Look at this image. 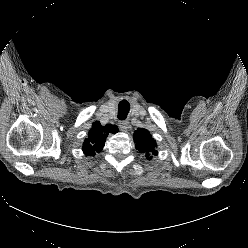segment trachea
Wrapping results in <instances>:
<instances>
[{"label": "trachea", "mask_w": 248, "mask_h": 248, "mask_svg": "<svg viewBox=\"0 0 248 248\" xmlns=\"http://www.w3.org/2000/svg\"><path fill=\"white\" fill-rule=\"evenodd\" d=\"M129 103L126 100H123L119 103L118 106V118L120 120H124L127 117V114L129 112Z\"/></svg>", "instance_id": "obj_1"}]
</instances>
